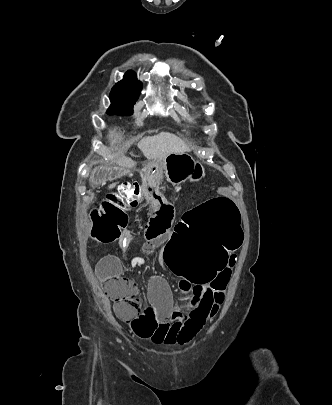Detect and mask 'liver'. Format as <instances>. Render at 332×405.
<instances>
[{"label":"liver","instance_id":"6515ba94","mask_svg":"<svg viewBox=\"0 0 332 405\" xmlns=\"http://www.w3.org/2000/svg\"><path fill=\"white\" fill-rule=\"evenodd\" d=\"M138 147L148 160L153 162L162 161L166 156L172 153H184L189 150L188 145L181 138L168 132H162L155 136L143 138ZM120 161L126 164V158L122 157Z\"/></svg>","mask_w":332,"mask_h":405}]
</instances>
